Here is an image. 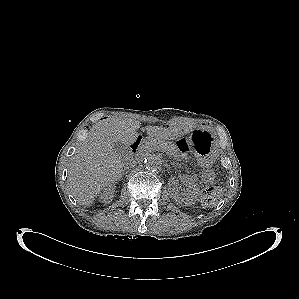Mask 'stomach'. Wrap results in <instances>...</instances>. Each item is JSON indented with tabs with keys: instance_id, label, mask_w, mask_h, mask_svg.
Here are the masks:
<instances>
[{
	"instance_id": "obj_1",
	"label": "stomach",
	"mask_w": 299,
	"mask_h": 299,
	"mask_svg": "<svg viewBox=\"0 0 299 299\" xmlns=\"http://www.w3.org/2000/svg\"><path fill=\"white\" fill-rule=\"evenodd\" d=\"M174 147L179 152L188 151L192 158L201 163H207L217 152V141L209 131L197 129L189 137L177 136Z\"/></svg>"
}]
</instances>
